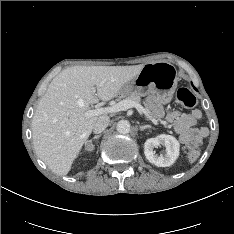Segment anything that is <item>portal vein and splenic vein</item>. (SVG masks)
<instances>
[{"instance_id": "portal-vein-and-splenic-vein-1", "label": "portal vein and splenic vein", "mask_w": 234, "mask_h": 234, "mask_svg": "<svg viewBox=\"0 0 234 234\" xmlns=\"http://www.w3.org/2000/svg\"><path fill=\"white\" fill-rule=\"evenodd\" d=\"M133 107L137 109L140 115L146 113V110L143 108V106H141V104L131 100L124 99L116 104L107 107H100L99 105H96L95 109L88 110L85 114L87 117L98 116L103 114H110L119 111H124Z\"/></svg>"}]
</instances>
